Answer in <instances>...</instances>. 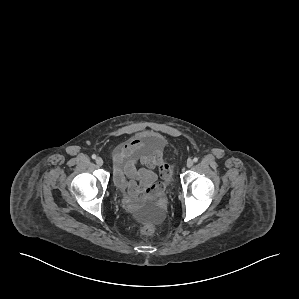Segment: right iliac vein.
<instances>
[{
    "instance_id": "right-iliac-vein-1",
    "label": "right iliac vein",
    "mask_w": 299,
    "mask_h": 299,
    "mask_svg": "<svg viewBox=\"0 0 299 299\" xmlns=\"http://www.w3.org/2000/svg\"><path fill=\"white\" fill-rule=\"evenodd\" d=\"M96 164H97L98 166H102V165H103V159H102L101 157H97V158H96Z\"/></svg>"
}]
</instances>
